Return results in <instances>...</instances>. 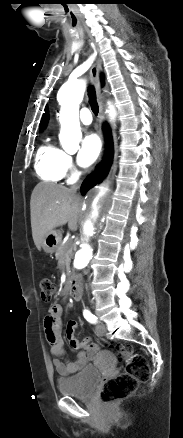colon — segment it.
I'll return each instance as SVG.
<instances>
[{"mask_svg": "<svg viewBox=\"0 0 183 438\" xmlns=\"http://www.w3.org/2000/svg\"><path fill=\"white\" fill-rule=\"evenodd\" d=\"M43 302H49L55 292V284L50 279H43L40 284ZM108 346L114 348L120 359L126 362L123 373L105 380L101 387L100 399L106 405L131 395L138 385L149 378L150 368L147 360L134 354L131 345L116 341H109Z\"/></svg>", "mask_w": 183, "mask_h": 438, "instance_id": "colon-1", "label": "colon"}]
</instances>
